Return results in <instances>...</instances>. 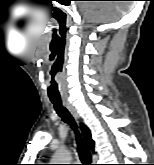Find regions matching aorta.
I'll use <instances>...</instances> for the list:
<instances>
[{
    "mask_svg": "<svg viewBox=\"0 0 154 165\" xmlns=\"http://www.w3.org/2000/svg\"><path fill=\"white\" fill-rule=\"evenodd\" d=\"M71 154L66 149H59L52 158V164H70Z\"/></svg>",
    "mask_w": 154,
    "mask_h": 165,
    "instance_id": "762f6f07",
    "label": "aorta"
}]
</instances>
